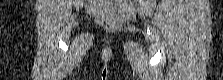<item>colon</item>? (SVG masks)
Returning <instances> with one entry per match:
<instances>
[{
    "instance_id": "colon-1",
    "label": "colon",
    "mask_w": 223,
    "mask_h": 80,
    "mask_svg": "<svg viewBox=\"0 0 223 80\" xmlns=\"http://www.w3.org/2000/svg\"><path fill=\"white\" fill-rule=\"evenodd\" d=\"M103 26L106 27V28H113V24L110 23V22H103Z\"/></svg>"
}]
</instances>
